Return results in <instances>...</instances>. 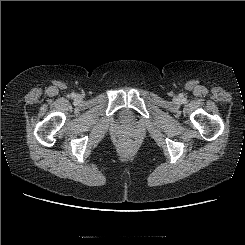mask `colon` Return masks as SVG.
Listing matches in <instances>:
<instances>
[{"label":"colon","mask_w":245,"mask_h":245,"mask_svg":"<svg viewBox=\"0 0 245 245\" xmlns=\"http://www.w3.org/2000/svg\"><path fill=\"white\" fill-rule=\"evenodd\" d=\"M123 144L125 145V146H131V141L130 140H124L123 141Z\"/></svg>","instance_id":"1"}]
</instances>
